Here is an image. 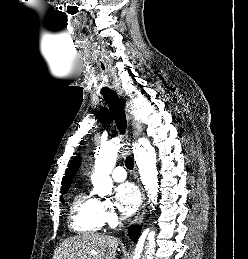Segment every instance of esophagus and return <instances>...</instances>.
<instances>
[{
	"label": "esophagus",
	"instance_id": "obj_1",
	"mask_svg": "<svg viewBox=\"0 0 248 259\" xmlns=\"http://www.w3.org/2000/svg\"><path fill=\"white\" fill-rule=\"evenodd\" d=\"M117 93L125 101L127 120L131 125L133 137L136 139L140 136V134L143 131L140 118L137 115V113L135 112V109H134L131 101L128 98H126L125 95H123V93L121 91H117ZM134 177H135L137 184L141 191V204H140V207H139L138 212L134 219V224H139L143 220V217L146 212V198H145L144 190H143L140 180L138 178L136 166H134Z\"/></svg>",
	"mask_w": 248,
	"mask_h": 259
}]
</instances>
